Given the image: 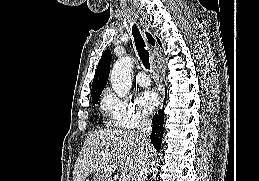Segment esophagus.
<instances>
[{
	"label": "esophagus",
	"mask_w": 259,
	"mask_h": 181,
	"mask_svg": "<svg viewBox=\"0 0 259 181\" xmlns=\"http://www.w3.org/2000/svg\"><path fill=\"white\" fill-rule=\"evenodd\" d=\"M143 34L150 48L155 51L157 49V43L153 33L147 26H143Z\"/></svg>",
	"instance_id": "obj_1"
}]
</instances>
